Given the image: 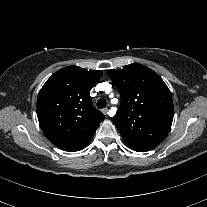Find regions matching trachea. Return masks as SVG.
I'll use <instances>...</instances> for the list:
<instances>
[{
	"instance_id": "3493384b",
	"label": "trachea",
	"mask_w": 207,
	"mask_h": 207,
	"mask_svg": "<svg viewBox=\"0 0 207 207\" xmlns=\"http://www.w3.org/2000/svg\"><path fill=\"white\" fill-rule=\"evenodd\" d=\"M107 105V102L104 98H100L98 101H97V108L98 109H102V108H105Z\"/></svg>"
}]
</instances>
